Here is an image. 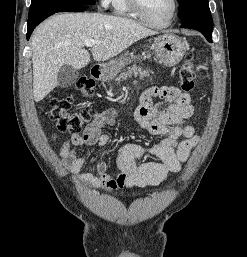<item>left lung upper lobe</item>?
Masks as SVG:
<instances>
[{"instance_id": "left-lung-upper-lobe-1", "label": "left lung upper lobe", "mask_w": 247, "mask_h": 257, "mask_svg": "<svg viewBox=\"0 0 247 257\" xmlns=\"http://www.w3.org/2000/svg\"><path fill=\"white\" fill-rule=\"evenodd\" d=\"M178 17L185 20L190 17H199L212 21L208 0H178Z\"/></svg>"}]
</instances>
